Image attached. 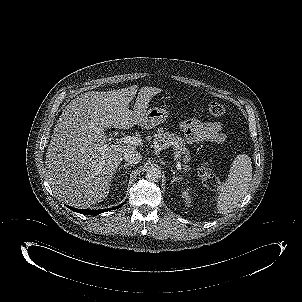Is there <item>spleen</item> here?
Masks as SVG:
<instances>
[{
  "label": "spleen",
  "mask_w": 302,
  "mask_h": 302,
  "mask_svg": "<svg viewBox=\"0 0 302 302\" xmlns=\"http://www.w3.org/2000/svg\"><path fill=\"white\" fill-rule=\"evenodd\" d=\"M252 162L248 155L240 154L233 161L226 182L221 186L217 201L219 213L228 214L241 202L252 179Z\"/></svg>",
  "instance_id": "spleen-1"
}]
</instances>
